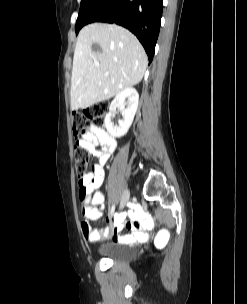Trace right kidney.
Instances as JSON below:
<instances>
[{"instance_id": "1", "label": "right kidney", "mask_w": 247, "mask_h": 304, "mask_svg": "<svg viewBox=\"0 0 247 304\" xmlns=\"http://www.w3.org/2000/svg\"><path fill=\"white\" fill-rule=\"evenodd\" d=\"M138 100V92L132 87L125 88L116 95L110 104V111L104 119L105 127L111 136L120 138L128 132L137 111ZM126 104H128V106L125 108ZM116 108H120L123 117L122 120L118 121V126L114 125L112 122V117L115 115Z\"/></svg>"}]
</instances>
